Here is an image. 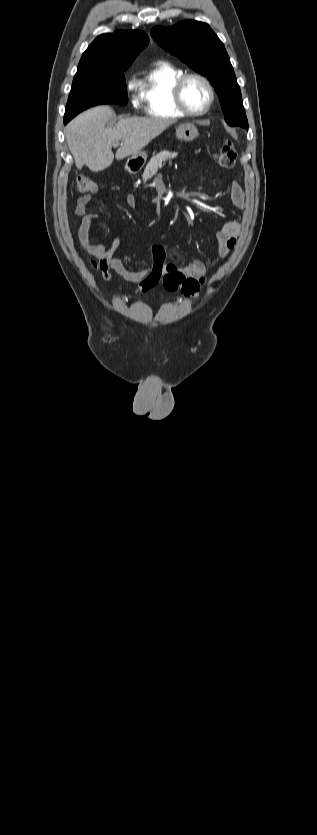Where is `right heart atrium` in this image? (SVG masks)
<instances>
[{
  "label": "right heart atrium",
  "instance_id": "obj_1",
  "mask_svg": "<svg viewBox=\"0 0 317 835\" xmlns=\"http://www.w3.org/2000/svg\"><path fill=\"white\" fill-rule=\"evenodd\" d=\"M135 85H136L135 80L133 78H131L127 83V88L129 90H133L135 88ZM134 105L136 106L137 102H134Z\"/></svg>",
  "mask_w": 317,
  "mask_h": 835
}]
</instances>
